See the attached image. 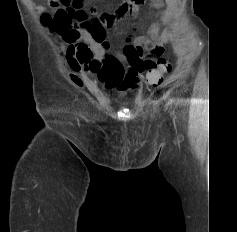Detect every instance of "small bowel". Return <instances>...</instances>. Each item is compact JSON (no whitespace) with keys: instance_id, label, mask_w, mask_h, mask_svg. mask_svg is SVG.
Segmentation results:
<instances>
[{"instance_id":"small-bowel-1","label":"small bowel","mask_w":237,"mask_h":232,"mask_svg":"<svg viewBox=\"0 0 237 232\" xmlns=\"http://www.w3.org/2000/svg\"><path fill=\"white\" fill-rule=\"evenodd\" d=\"M153 6L160 10L166 8L151 25L146 35L128 38L122 53L111 51L106 28L116 25L122 16L104 14L103 29L98 33L81 34L74 39H65L68 43L67 67L70 79L78 86L82 85L81 74L95 76L106 89L120 92L134 91L140 85V75L154 69L164 53L169 37L168 26L171 23L177 0H152Z\"/></svg>"}]
</instances>
